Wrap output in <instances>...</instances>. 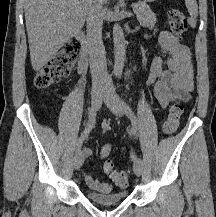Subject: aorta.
<instances>
[{
  "mask_svg": "<svg viewBox=\"0 0 216 217\" xmlns=\"http://www.w3.org/2000/svg\"><path fill=\"white\" fill-rule=\"evenodd\" d=\"M113 42H114V67L113 73L116 76H121L125 61V39L121 26L115 24L113 27Z\"/></svg>",
  "mask_w": 216,
  "mask_h": 217,
  "instance_id": "aorta-1",
  "label": "aorta"
}]
</instances>
